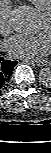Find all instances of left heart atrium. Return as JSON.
Returning <instances> with one entry per match:
<instances>
[{"label": "left heart atrium", "mask_w": 51, "mask_h": 153, "mask_svg": "<svg viewBox=\"0 0 51 153\" xmlns=\"http://www.w3.org/2000/svg\"><path fill=\"white\" fill-rule=\"evenodd\" d=\"M9 53L25 60H38L51 49V35L48 30L36 34H18L6 43Z\"/></svg>", "instance_id": "obj_1"}]
</instances>
